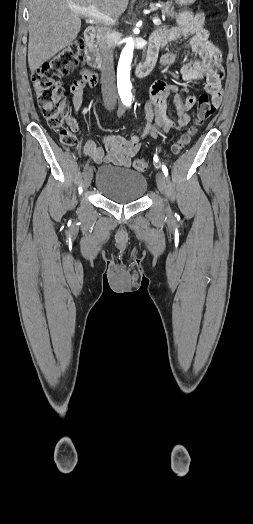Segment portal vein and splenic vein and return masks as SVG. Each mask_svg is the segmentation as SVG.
<instances>
[{
    "label": "portal vein and splenic vein",
    "mask_w": 253,
    "mask_h": 524,
    "mask_svg": "<svg viewBox=\"0 0 253 524\" xmlns=\"http://www.w3.org/2000/svg\"><path fill=\"white\" fill-rule=\"evenodd\" d=\"M70 8L76 12L77 14L79 15H83L87 18H91V19H95L97 21H100V22H103V23H106V24H114L115 23V20L104 14V13H101L96 7L94 6H87V7H81V6H78V5H72L70 6ZM153 23L155 25H160L161 24V20L157 17L153 18Z\"/></svg>",
    "instance_id": "obj_1"
}]
</instances>
